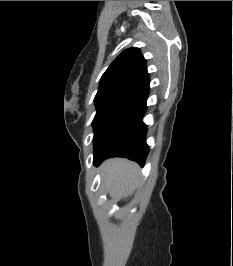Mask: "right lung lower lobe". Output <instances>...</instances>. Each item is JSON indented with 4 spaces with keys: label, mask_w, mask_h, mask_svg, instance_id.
Segmentation results:
<instances>
[{
    "label": "right lung lower lobe",
    "mask_w": 233,
    "mask_h": 266,
    "mask_svg": "<svg viewBox=\"0 0 233 266\" xmlns=\"http://www.w3.org/2000/svg\"><path fill=\"white\" fill-rule=\"evenodd\" d=\"M146 108L145 100L102 147L94 152L95 165H99L109 157H126L141 166L144 165L149 152L145 141L147 129L142 122Z\"/></svg>",
    "instance_id": "obj_1"
}]
</instances>
